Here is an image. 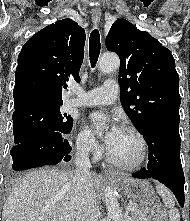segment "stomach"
<instances>
[{
	"label": "stomach",
	"mask_w": 190,
	"mask_h": 221,
	"mask_svg": "<svg viewBox=\"0 0 190 221\" xmlns=\"http://www.w3.org/2000/svg\"><path fill=\"white\" fill-rule=\"evenodd\" d=\"M117 183L125 196L139 204L147 221H165L162 206L148 180L120 177Z\"/></svg>",
	"instance_id": "obj_1"
}]
</instances>
